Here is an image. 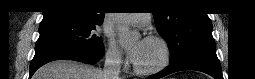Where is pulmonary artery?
<instances>
[{
  "label": "pulmonary artery",
  "instance_id": "pulmonary-artery-1",
  "mask_svg": "<svg viewBox=\"0 0 255 79\" xmlns=\"http://www.w3.org/2000/svg\"><path fill=\"white\" fill-rule=\"evenodd\" d=\"M151 20L150 14H129L126 15L124 22L127 24H147Z\"/></svg>",
  "mask_w": 255,
  "mask_h": 79
}]
</instances>
